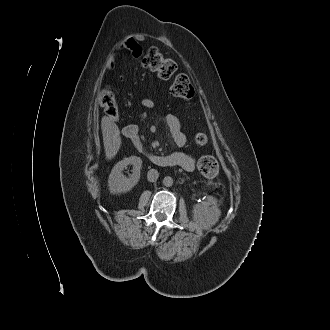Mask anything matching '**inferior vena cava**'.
Segmentation results:
<instances>
[{"label": "inferior vena cava", "mask_w": 330, "mask_h": 330, "mask_svg": "<svg viewBox=\"0 0 330 330\" xmlns=\"http://www.w3.org/2000/svg\"><path fill=\"white\" fill-rule=\"evenodd\" d=\"M158 177H159V173L155 169H151L147 173V179L150 182H155L158 179Z\"/></svg>", "instance_id": "obj_1"}]
</instances>
